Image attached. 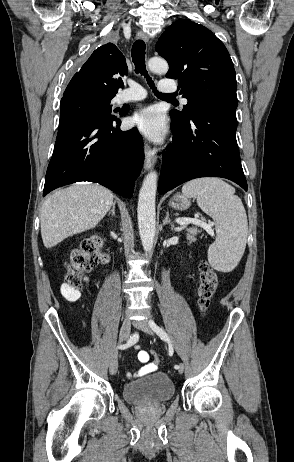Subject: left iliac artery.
Instances as JSON below:
<instances>
[{
	"instance_id": "44dca946",
	"label": "left iliac artery",
	"mask_w": 294,
	"mask_h": 462,
	"mask_svg": "<svg viewBox=\"0 0 294 462\" xmlns=\"http://www.w3.org/2000/svg\"><path fill=\"white\" fill-rule=\"evenodd\" d=\"M149 325L161 339L168 342L167 355L169 356V358H173L174 357L173 344H171L168 334L162 328H160L153 320L149 321ZM178 368H179V365H175V369H178Z\"/></svg>"
}]
</instances>
